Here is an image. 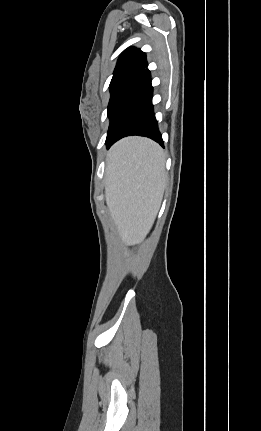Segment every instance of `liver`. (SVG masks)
<instances>
[{"label":"liver","mask_w":261,"mask_h":431,"mask_svg":"<svg viewBox=\"0 0 261 431\" xmlns=\"http://www.w3.org/2000/svg\"><path fill=\"white\" fill-rule=\"evenodd\" d=\"M166 183L162 148L144 137H126L106 157L105 198L123 243L141 242L159 211Z\"/></svg>","instance_id":"1"}]
</instances>
